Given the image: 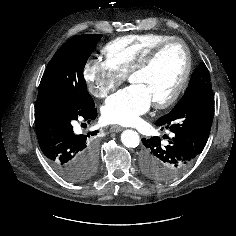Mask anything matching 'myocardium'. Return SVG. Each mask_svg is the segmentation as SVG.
Wrapping results in <instances>:
<instances>
[{
    "mask_svg": "<svg viewBox=\"0 0 236 236\" xmlns=\"http://www.w3.org/2000/svg\"><path fill=\"white\" fill-rule=\"evenodd\" d=\"M174 43L179 44L183 49L185 56L184 71L173 91L166 98L153 102L154 107L157 109H164L171 106L179 98V96L181 95L182 91L184 90L188 82L192 69V59L186 42L181 38L171 37L158 43L136 65H134V67L130 70L128 74V78H130L133 75L141 73L146 69H148L154 63L159 54L167 46Z\"/></svg>",
    "mask_w": 236,
    "mask_h": 236,
    "instance_id": "f54148a6",
    "label": "myocardium"
}]
</instances>
